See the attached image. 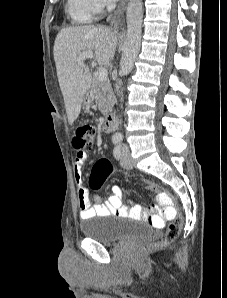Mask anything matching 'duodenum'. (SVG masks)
I'll list each match as a JSON object with an SVG mask.
<instances>
[{"label": "duodenum", "instance_id": "duodenum-1", "mask_svg": "<svg viewBox=\"0 0 227 298\" xmlns=\"http://www.w3.org/2000/svg\"><path fill=\"white\" fill-rule=\"evenodd\" d=\"M89 93H91L89 91ZM116 114L114 112H110L107 114L106 119H105V125H104V130L106 132H111L115 129L116 127Z\"/></svg>", "mask_w": 227, "mask_h": 298}]
</instances>
